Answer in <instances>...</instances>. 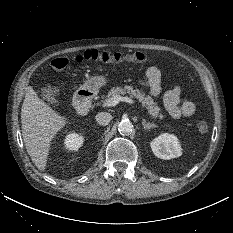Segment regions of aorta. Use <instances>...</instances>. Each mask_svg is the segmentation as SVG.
Masks as SVG:
<instances>
[{
  "label": "aorta",
  "instance_id": "1",
  "mask_svg": "<svg viewBox=\"0 0 233 233\" xmlns=\"http://www.w3.org/2000/svg\"><path fill=\"white\" fill-rule=\"evenodd\" d=\"M118 131L120 134H130L133 131V124L131 121L129 120H122L119 124H118Z\"/></svg>",
  "mask_w": 233,
  "mask_h": 233
}]
</instances>
